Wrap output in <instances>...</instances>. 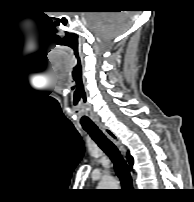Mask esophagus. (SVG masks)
I'll return each instance as SVG.
<instances>
[{"instance_id":"obj_1","label":"esophagus","mask_w":194,"mask_h":202,"mask_svg":"<svg viewBox=\"0 0 194 202\" xmlns=\"http://www.w3.org/2000/svg\"><path fill=\"white\" fill-rule=\"evenodd\" d=\"M100 127L102 128L103 132L120 148L122 149V145L120 143V140L118 139V137L116 136V134L109 129L106 126L100 125Z\"/></svg>"}]
</instances>
